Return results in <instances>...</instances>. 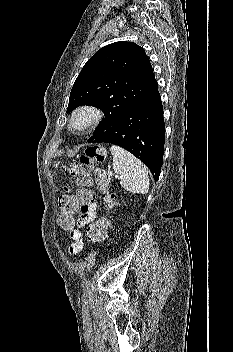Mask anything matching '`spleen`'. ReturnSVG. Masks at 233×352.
Wrapping results in <instances>:
<instances>
[{"label":"spleen","instance_id":"spleen-1","mask_svg":"<svg viewBox=\"0 0 233 352\" xmlns=\"http://www.w3.org/2000/svg\"><path fill=\"white\" fill-rule=\"evenodd\" d=\"M112 167L120 175V184L134 194H146L149 190V176L145 165L122 147L112 145Z\"/></svg>","mask_w":233,"mask_h":352}]
</instances>
